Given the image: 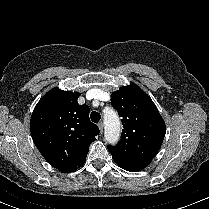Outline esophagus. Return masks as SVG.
Wrapping results in <instances>:
<instances>
[{
  "mask_svg": "<svg viewBox=\"0 0 209 209\" xmlns=\"http://www.w3.org/2000/svg\"><path fill=\"white\" fill-rule=\"evenodd\" d=\"M98 127H99L100 132L102 133L104 129V124L102 122H99Z\"/></svg>",
  "mask_w": 209,
  "mask_h": 209,
  "instance_id": "obj_1",
  "label": "esophagus"
}]
</instances>
